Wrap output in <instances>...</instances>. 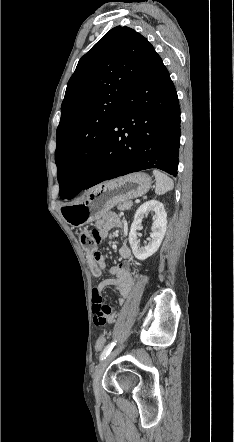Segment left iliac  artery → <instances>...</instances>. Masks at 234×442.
Returning <instances> with one entry per match:
<instances>
[{
	"label": "left iliac artery",
	"instance_id": "1",
	"mask_svg": "<svg viewBox=\"0 0 234 442\" xmlns=\"http://www.w3.org/2000/svg\"><path fill=\"white\" fill-rule=\"evenodd\" d=\"M116 341H112L111 343H109L105 349L103 350V352L100 355V360H104L111 352V350L113 349V347L115 346Z\"/></svg>",
	"mask_w": 234,
	"mask_h": 442
}]
</instances>
